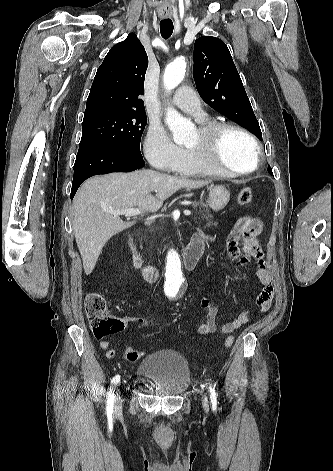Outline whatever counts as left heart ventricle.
<instances>
[{"label":"left heart ventricle","instance_id":"obj_1","mask_svg":"<svg viewBox=\"0 0 333 471\" xmlns=\"http://www.w3.org/2000/svg\"><path fill=\"white\" fill-rule=\"evenodd\" d=\"M198 141L199 135L196 132L187 146L194 147ZM216 158L222 165L230 169L246 170L254 164V148L242 134L236 131H225L219 137Z\"/></svg>","mask_w":333,"mask_h":471}]
</instances>
